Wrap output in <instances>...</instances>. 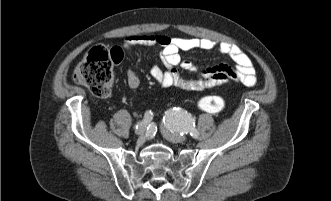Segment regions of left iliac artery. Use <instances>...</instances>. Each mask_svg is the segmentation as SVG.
<instances>
[{"label": "left iliac artery", "instance_id": "left-iliac-artery-1", "mask_svg": "<svg viewBox=\"0 0 331 201\" xmlns=\"http://www.w3.org/2000/svg\"><path fill=\"white\" fill-rule=\"evenodd\" d=\"M163 122L171 132H179L181 135L190 134L193 138L199 135L195 129L194 119L182 108L174 107L165 112Z\"/></svg>", "mask_w": 331, "mask_h": 201}]
</instances>
